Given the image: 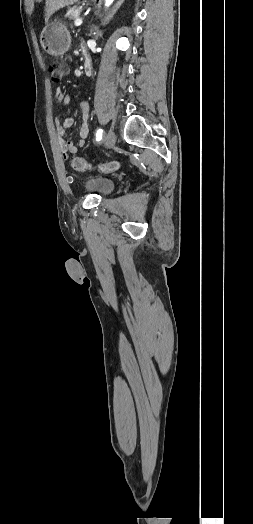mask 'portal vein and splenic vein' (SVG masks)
Segmentation results:
<instances>
[{
  "instance_id": "obj_1",
  "label": "portal vein and splenic vein",
  "mask_w": 253,
  "mask_h": 524,
  "mask_svg": "<svg viewBox=\"0 0 253 524\" xmlns=\"http://www.w3.org/2000/svg\"><path fill=\"white\" fill-rule=\"evenodd\" d=\"M75 26H80L82 24V19L81 18H77L74 22Z\"/></svg>"
}]
</instances>
